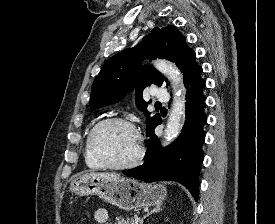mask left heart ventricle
Wrapping results in <instances>:
<instances>
[{
	"instance_id": "b2bd125f",
	"label": "left heart ventricle",
	"mask_w": 275,
	"mask_h": 224,
	"mask_svg": "<svg viewBox=\"0 0 275 224\" xmlns=\"http://www.w3.org/2000/svg\"><path fill=\"white\" fill-rule=\"evenodd\" d=\"M96 143L101 154L114 164L126 163L133 159L138 148L134 132L120 123L103 127L98 133Z\"/></svg>"
}]
</instances>
